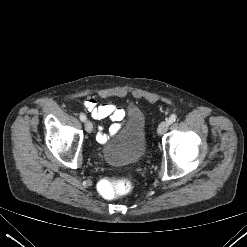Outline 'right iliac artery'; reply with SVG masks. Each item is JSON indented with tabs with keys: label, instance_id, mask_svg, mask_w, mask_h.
Wrapping results in <instances>:
<instances>
[{
	"label": "right iliac artery",
	"instance_id": "1",
	"mask_svg": "<svg viewBox=\"0 0 247 247\" xmlns=\"http://www.w3.org/2000/svg\"><path fill=\"white\" fill-rule=\"evenodd\" d=\"M80 120H81L82 122H85L86 116H85L84 114H80Z\"/></svg>",
	"mask_w": 247,
	"mask_h": 247
}]
</instances>
